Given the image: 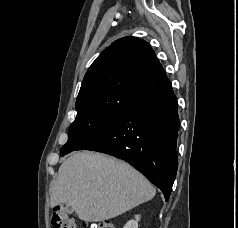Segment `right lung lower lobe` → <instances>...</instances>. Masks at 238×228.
<instances>
[{
    "label": "right lung lower lobe",
    "mask_w": 238,
    "mask_h": 228,
    "mask_svg": "<svg viewBox=\"0 0 238 228\" xmlns=\"http://www.w3.org/2000/svg\"><path fill=\"white\" fill-rule=\"evenodd\" d=\"M180 120L170 88L121 114L75 150H91L127 161L157 186L168 201L178 169Z\"/></svg>",
    "instance_id": "98d812e1"
}]
</instances>
